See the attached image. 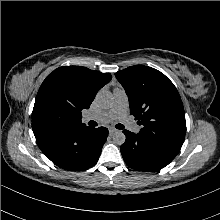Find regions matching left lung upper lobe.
<instances>
[{"instance_id":"5c2ea615","label":"left lung upper lobe","mask_w":220,"mask_h":220,"mask_svg":"<svg viewBox=\"0 0 220 220\" xmlns=\"http://www.w3.org/2000/svg\"><path fill=\"white\" fill-rule=\"evenodd\" d=\"M129 98L139 135L178 154L184 142V107L174 84L160 71L135 65L115 73Z\"/></svg>"}]
</instances>
